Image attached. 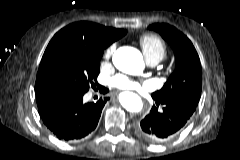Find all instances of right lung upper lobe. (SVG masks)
Listing matches in <instances>:
<instances>
[{
    "label": "right lung upper lobe",
    "mask_w": 240,
    "mask_h": 160,
    "mask_svg": "<svg viewBox=\"0 0 240 160\" xmlns=\"http://www.w3.org/2000/svg\"><path fill=\"white\" fill-rule=\"evenodd\" d=\"M67 35L71 39L82 43L84 46L104 50L111 43L126 34V30L104 27L91 22H77L61 29L48 44L45 54L49 51L53 42L61 35Z\"/></svg>",
    "instance_id": "cb5924a9"
}]
</instances>
